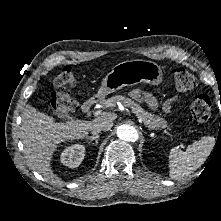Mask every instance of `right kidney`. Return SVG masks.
Instances as JSON below:
<instances>
[{
    "label": "right kidney",
    "instance_id": "1",
    "mask_svg": "<svg viewBox=\"0 0 221 221\" xmlns=\"http://www.w3.org/2000/svg\"><path fill=\"white\" fill-rule=\"evenodd\" d=\"M85 147L80 144H74L61 153V163L70 168L78 167L84 159Z\"/></svg>",
    "mask_w": 221,
    "mask_h": 221
}]
</instances>
